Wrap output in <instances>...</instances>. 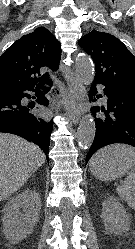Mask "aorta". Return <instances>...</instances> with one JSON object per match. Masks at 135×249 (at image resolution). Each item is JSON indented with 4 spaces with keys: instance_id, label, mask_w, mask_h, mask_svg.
<instances>
[{
    "instance_id": "1",
    "label": "aorta",
    "mask_w": 135,
    "mask_h": 249,
    "mask_svg": "<svg viewBox=\"0 0 135 249\" xmlns=\"http://www.w3.org/2000/svg\"><path fill=\"white\" fill-rule=\"evenodd\" d=\"M75 66L80 80L84 84H91L94 80L95 73L91 59L87 55H79L76 58ZM95 132V121L90 114H86L82 117L79 123L77 136L79 147L82 149H88L94 141Z\"/></svg>"
}]
</instances>
